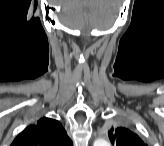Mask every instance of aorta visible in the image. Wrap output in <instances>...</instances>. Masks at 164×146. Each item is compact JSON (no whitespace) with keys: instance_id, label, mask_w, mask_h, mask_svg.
<instances>
[{"instance_id":"aorta-1","label":"aorta","mask_w":164,"mask_h":146,"mask_svg":"<svg viewBox=\"0 0 164 146\" xmlns=\"http://www.w3.org/2000/svg\"><path fill=\"white\" fill-rule=\"evenodd\" d=\"M94 146H110V143L105 139H98L94 142Z\"/></svg>"}]
</instances>
